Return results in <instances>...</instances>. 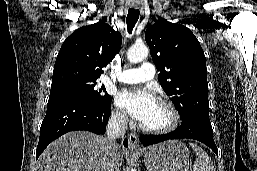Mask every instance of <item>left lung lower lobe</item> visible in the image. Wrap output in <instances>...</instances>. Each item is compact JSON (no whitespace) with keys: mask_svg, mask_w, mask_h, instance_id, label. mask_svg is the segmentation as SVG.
<instances>
[{"mask_svg":"<svg viewBox=\"0 0 257 171\" xmlns=\"http://www.w3.org/2000/svg\"><path fill=\"white\" fill-rule=\"evenodd\" d=\"M179 138L198 140L207 145L218 155V150L213 139L211 122L208 118L203 117H192L182 121L181 125L172 133L164 135H142L140 136V142L143 146H148Z\"/></svg>","mask_w":257,"mask_h":171,"instance_id":"0a47b994","label":"left lung lower lobe"}]
</instances>
